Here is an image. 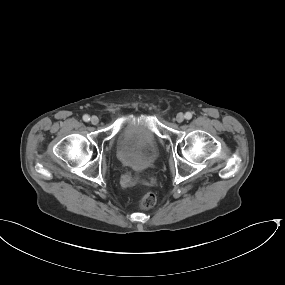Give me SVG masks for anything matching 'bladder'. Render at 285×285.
I'll return each instance as SVG.
<instances>
[{"label": "bladder", "instance_id": "bladder-1", "mask_svg": "<svg viewBox=\"0 0 285 285\" xmlns=\"http://www.w3.org/2000/svg\"><path fill=\"white\" fill-rule=\"evenodd\" d=\"M118 158L125 166L142 170L151 166L156 151V138L143 118L120 128L115 134Z\"/></svg>", "mask_w": 285, "mask_h": 285}]
</instances>
